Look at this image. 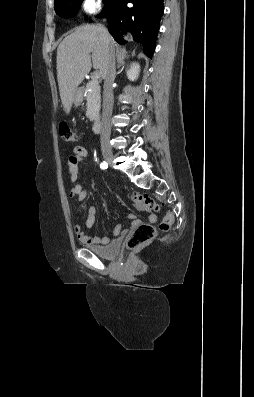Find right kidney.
I'll return each instance as SVG.
<instances>
[{
    "label": "right kidney",
    "instance_id": "right-kidney-1",
    "mask_svg": "<svg viewBox=\"0 0 254 397\" xmlns=\"http://www.w3.org/2000/svg\"><path fill=\"white\" fill-rule=\"evenodd\" d=\"M140 72V66L137 63H132L130 69L127 70V77L129 80L134 81L138 78Z\"/></svg>",
    "mask_w": 254,
    "mask_h": 397
}]
</instances>
